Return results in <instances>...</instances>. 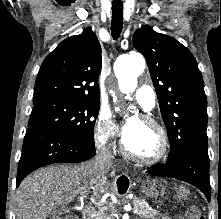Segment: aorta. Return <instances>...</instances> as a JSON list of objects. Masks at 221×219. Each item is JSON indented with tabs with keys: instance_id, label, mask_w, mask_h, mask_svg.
Wrapping results in <instances>:
<instances>
[{
	"instance_id": "1",
	"label": "aorta",
	"mask_w": 221,
	"mask_h": 219,
	"mask_svg": "<svg viewBox=\"0 0 221 219\" xmlns=\"http://www.w3.org/2000/svg\"><path fill=\"white\" fill-rule=\"evenodd\" d=\"M145 60L140 54L119 57L114 63V73L122 93L129 94L136 88L137 77L144 71Z\"/></svg>"
}]
</instances>
